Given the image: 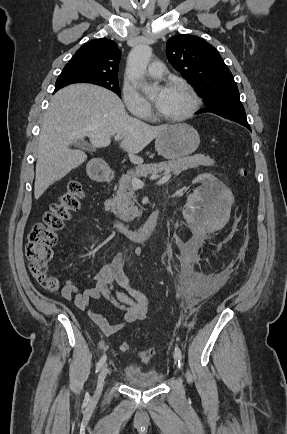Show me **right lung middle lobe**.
I'll list each match as a JSON object with an SVG mask.
<instances>
[{
	"mask_svg": "<svg viewBox=\"0 0 287 434\" xmlns=\"http://www.w3.org/2000/svg\"><path fill=\"white\" fill-rule=\"evenodd\" d=\"M73 83H89L96 84L107 89L112 90L118 96H120L119 81L117 77L109 76H96L88 73H84L74 69H63L62 73L58 77L55 87H64Z\"/></svg>",
	"mask_w": 287,
	"mask_h": 434,
	"instance_id": "right-lung-middle-lobe-1",
	"label": "right lung middle lobe"
}]
</instances>
